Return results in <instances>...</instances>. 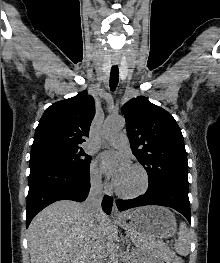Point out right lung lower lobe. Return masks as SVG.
Listing matches in <instances>:
<instances>
[{
    "instance_id": "1",
    "label": "right lung lower lobe",
    "mask_w": 220,
    "mask_h": 263,
    "mask_svg": "<svg viewBox=\"0 0 220 263\" xmlns=\"http://www.w3.org/2000/svg\"><path fill=\"white\" fill-rule=\"evenodd\" d=\"M89 190V168L74 169L48 160H30L26 227L49 204L58 200L84 201ZM112 204L113 199L105 196L102 208L108 215Z\"/></svg>"
}]
</instances>
